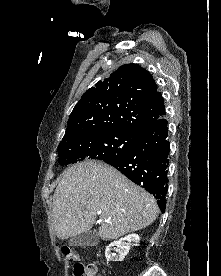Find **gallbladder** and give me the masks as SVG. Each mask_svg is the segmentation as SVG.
<instances>
[{
    "instance_id": "1",
    "label": "gallbladder",
    "mask_w": 221,
    "mask_h": 276,
    "mask_svg": "<svg viewBox=\"0 0 221 276\" xmlns=\"http://www.w3.org/2000/svg\"><path fill=\"white\" fill-rule=\"evenodd\" d=\"M99 242V238L95 231H87L80 233L69 240L71 246H95Z\"/></svg>"
}]
</instances>
